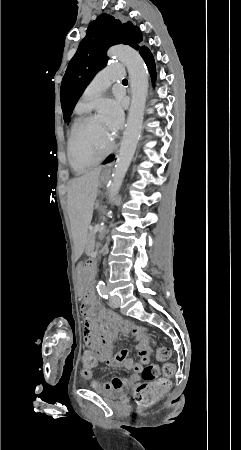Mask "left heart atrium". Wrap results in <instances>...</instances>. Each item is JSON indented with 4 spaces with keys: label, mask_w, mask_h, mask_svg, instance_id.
<instances>
[{
    "label": "left heart atrium",
    "mask_w": 241,
    "mask_h": 450,
    "mask_svg": "<svg viewBox=\"0 0 241 450\" xmlns=\"http://www.w3.org/2000/svg\"><path fill=\"white\" fill-rule=\"evenodd\" d=\"M108 111L111 115L110 125L114 131H118L123 126V113L120 107L114 102H108Z\"/></svg>",
    "instance_id": "39dd6f15"
}]
</instances>
